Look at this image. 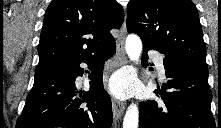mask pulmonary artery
<instances>
[{
  "mask_svg": "<svg viewBox=\"0 0 221 128\" xmlns=\"http://www.w3.org/2000/svg\"><path fill=\"white\" fill-rule=\"evenodd\" d=\"M150 57L154 61L156 69L159 72L160 76L162 78H165V66L163 63V57L155 52L150 53Z\"/></svg>",
  "mask_w": 221,
  "mask_h": 128,
  "instance_id": "1",
  "label": "pulmonary artery"
}]
</instances>
